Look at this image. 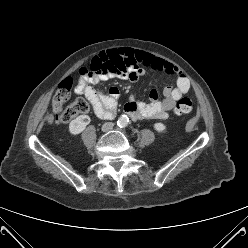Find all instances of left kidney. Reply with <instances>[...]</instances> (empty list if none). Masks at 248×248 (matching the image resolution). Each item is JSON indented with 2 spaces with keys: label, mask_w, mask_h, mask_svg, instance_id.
Instances as JSON below:
<instances>
[{
  "label": "left kidney",
  "mask_w": 248,
  "mask_h": 248,
  "mask_svg": "<svg viewBox=\"0 0 248 248\" xmlns=\"http://www.w3.org/2000/svg\"><path fill=\"white\" fill-rule=\"evenodd\" d=\"M154 129H155L157 132H159V133H164V132H166L167 127H166V125H164L163 123L158 122V123H155V124H154Z\"/></svg>",
  "instance_id": "1"
}]
</instances>
